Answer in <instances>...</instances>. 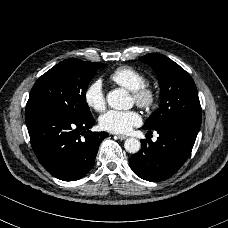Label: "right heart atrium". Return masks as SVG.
Returning <instances> with one entry per match:
<instances>
[{"label": "right heart atrium", "mask_w": 228, "mask_h": 228, "mask_svg": "<svg viewBox=\"0 0 228 228\" xmlns=\"http://www.w3.org/2000/svg\"><path fill=\"white\" fill-rule=\"evenodd\" d=\"M84 101L93 110L101 112L106 108V92L100 78L93 79L83 93Z\"/></svg>", "instance_id": "obj_1"}]
</instances>
